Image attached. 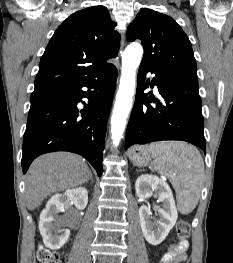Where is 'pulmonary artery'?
<instances>
[{
  "label": "pulmonary artery",
  "mask_w": 233,
  "mask_h": 263,
  "mask_svg": "<svg viewBox=\"0 0 233 263\" xmlns=\"http://www.w3.org/2000/svg\"><path fill=\"white\" fill-rule=\"evenodd\" d=\"M154 89H155V91H157V87H156V86H155V88H154Z\"/></svg>",
  "instance_id": "obj_1"
}]
</instances>
